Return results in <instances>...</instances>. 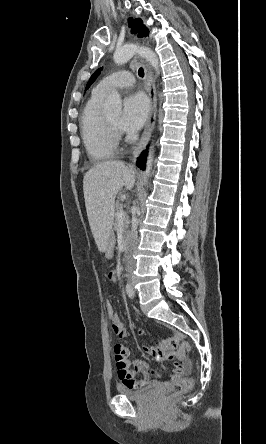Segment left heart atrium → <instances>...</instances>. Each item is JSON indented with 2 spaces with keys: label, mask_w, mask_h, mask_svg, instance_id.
<instances>
[{
  "label": "left heart atrium",
  "mask_w": 266,
  "mask_h": 444,
  "mask_svg": "<svg viewBox=\"0 0 266 444\" xmlns=\"http://www.w3.org/2000/svg\"><path fill=\"white\" fill-rule=\"evenodd\" d=\"M148 112L149 104L143 94L135 93L128 96L124 101L119 128L126 132L137 131L145 123Z\"/></svg>",
  "instance_id": "1"
}]
</instances>
